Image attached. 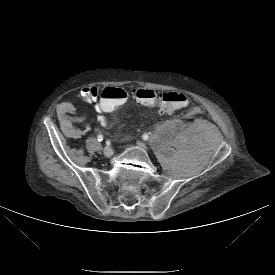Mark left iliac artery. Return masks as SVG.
<instances>
[{
  "label": "left iliac artery",
  "mask_w": 275,
  "mask_h": 275,
  "mask_svg": "<svg viewBox=\"0 0 275 275\" xmlns=\"http://www.w3.org/2000/svg\"><path fill=\"white\" fill-rule=\"evenodd\" d=\"M142 138H143L144 140H147V139L149 138V136H148L147 133H145V134H143Z\"/></svg>",
  "instance_id": "left-iliac-artery-1"
}]
</instances>
